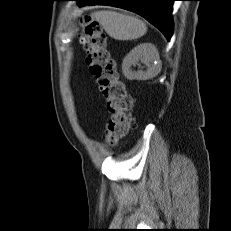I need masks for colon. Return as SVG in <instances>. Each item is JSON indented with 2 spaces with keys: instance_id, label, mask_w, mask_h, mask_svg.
<instances>
[{
  "instance_id": "colon-1",
  "label": "colon",
  "mask_w": 231,
  "mask_h": 231,
  "mask_svg": "<svg viewBox=\"0 0 231 231\" xmlns=\"http://www.w3.org/2000/svg\"><path fill=\"white\" fill-rule=\"evenodd\" d=\"M81 41L88 52L86 62L90 73L105 97L110 112L104 141L114 146L131 127L133 98L116 69L115 60L107 47L106 34L96 20L84 22Z\"/></svg>"
}]
</instances>
